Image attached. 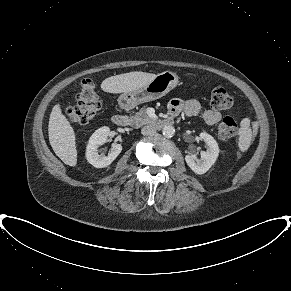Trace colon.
Returning a JSON list of instances; mask_svg holds the SVG:
<instances>
[{"mask_svg":"<svg viewBox=\"0 0 291 291\" xmlns=\"http://www.w3.org/2000/svg\"><path fill=\"white\" fill-rule=\"evenodd\" d=\"M210 104L215 110H223L230 107L232 99L224 88L217 87L212 91ZM100 109L101 101L95 84L92 80L85 79L77 92L76 104L66 109V115L72 123L86 124ZM217 131L222 139H231L237 134V123L232 117H225L218 125Z\"/></svg>","mask_w":291,"mask_h":291,"instance_id":"colon-1","label":"colon"}]
</instances>
